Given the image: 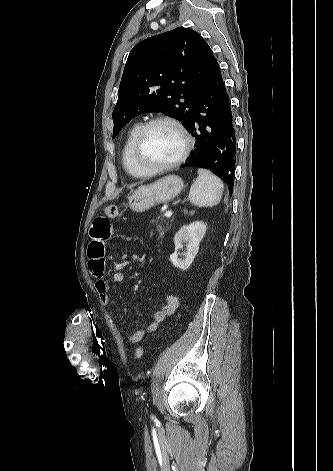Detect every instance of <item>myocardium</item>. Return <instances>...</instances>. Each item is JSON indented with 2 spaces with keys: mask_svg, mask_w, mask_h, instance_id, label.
<instances>
[{
  "mask_svg": "<svg viewBox=\"0 0 333 471\" xmlns=\"http://www.w3.org/2000/svg\"><path fill=\"white\" fill-rule=\"evenodd\" d=\"M159 123L168 124L178 132L181 138L182 148L179 156L175 160L166 164L154 165L145 162V160L143 159V150L149 130L151 129V127ZM191 146V137L179 121L170 116H156L142 124L133 143L132 156L137 168H139L145 175H150L159 172L169 171L181 165L188 157L191 150Z\"/></svg>",
  "mask_w": 333,
  "mask_h": 471,
  "instance_id": "myocardium-1",
  "label": "myocardium"
}]
</instances>
